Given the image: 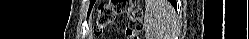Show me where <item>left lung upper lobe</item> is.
I'll return each instance as SVG.
<instances>
[{
	"instance_id": "obj_1",
	"label": "left lung upper lobe",
	"mask_w": 249,
	"mask_h": 39,
	"mask_svg": "<svg viewBox=\"0 0 249 39\" xmlns=\"http://www.w3.org/2000/svg\"><path fill=\"white\" fill-rule=\"evenodd\" d=\"M93 3H94V2L91 0V6L93 5Z\"/></svg>"
}]
</instances>
